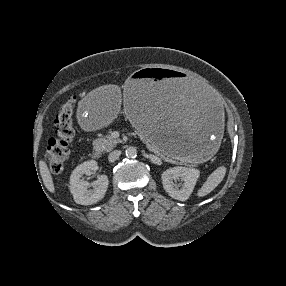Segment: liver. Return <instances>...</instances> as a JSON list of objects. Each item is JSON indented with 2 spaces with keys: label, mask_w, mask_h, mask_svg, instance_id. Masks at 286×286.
I'll return each mask as SVG.
<instances>
[{
  "label": "liver",
  "mask_w": 286,
  "mask_h": 286,
  "mask_svg": "<svg viewBox=\"0 0 286 286\" xmlns=\"http://www.w3.org/2000/svg\"><path fill=\"white\" fill-rule=\"evenodd\" d=\"M126 85H125V90H126ZM39 170H40V175L43 180L44 186L47 188L49 192L54 193L55 187L53 183V178L51 176V173L45 161L40 160Z\"/></svg>",
  "instance_id": "liver-1"
}]
</instances>
